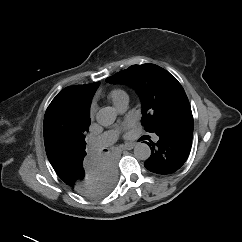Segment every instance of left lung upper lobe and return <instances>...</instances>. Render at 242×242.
<instances>
[{"mask_svg":"<svg viewBox=\"0 0 242 242\" xmlns=\"http://www.w3.org/2000/svg\"><path fill=\"white\" fill-rule=\"evenodd\" d=\"M106 81L127 84L137 91L142 102L141 123L147 132H155L166 122L191 112L181 84L157 65H132Z\"/></svg>","mask_w":242,"mask_h":242,"instance_id":"5c2ea615","label":"left lung upper lobe"}]
</instances>
